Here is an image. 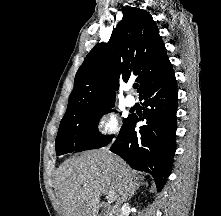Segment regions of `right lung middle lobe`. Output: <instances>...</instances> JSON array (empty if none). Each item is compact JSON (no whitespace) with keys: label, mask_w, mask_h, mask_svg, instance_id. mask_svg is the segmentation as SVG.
<instances>
[{"label":"right lung middle lobe","mask_w":221,"mask_h":216,"mask_svg":"<svg viewBox=\"0 0 221 216\" xmlns=\"http://www.w3.org/2000/svg\"><path fill=\"white\" fill-rule=\"evenodd\" d=\"M113 106L114 104H110L85 111L76 116L63 118L56 137V155L98 149L109 144L113 135L102 137L97 126L99 119L112 111ZM127 120L128 117L123 120V125Z\"/></svg>","instance_id":"1"}]
</instances>
